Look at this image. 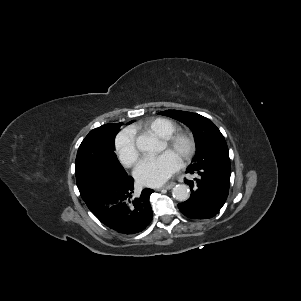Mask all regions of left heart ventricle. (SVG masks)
Listing matches in <instances>:
<instances>
[{"mask_svg": "<svg viewBox=\"0 0 301 301\" xmlns=\"http://www.w3.org/2000/svg\"><path fill=\"white\" fill-rule=\"evenodd\" d=\"M165 149H167V147H166L165 144H163L162 150H165ZM168 151L173 152V153H174L177 157H179V158H180V156H181V149H179V148L169 149Z\"/></svg>", "mask_w": 301, "mask_h": 301, "instance_id": "left-heart-ventricle-1", "label": "left heart ventricle"}]
</instances>
